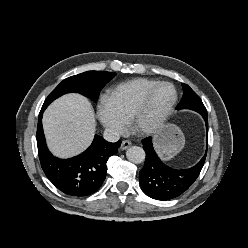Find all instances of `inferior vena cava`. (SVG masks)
<instances>
[{"label":"inferior vena cava","mask_w":248,"mask_h":248,"mask_svg":"<svg viewBox=\"0 0 248 248\" xmlns=\"http://www.w3.org/2000/svg\"><path fill=\"white\" fill-rule=\"evenodd\" d=\"M103 137L108 142H117L120 139V133L113 128H107L104 130Z\"/></svg>","instance_id":"602c4592"}]
</instances>
